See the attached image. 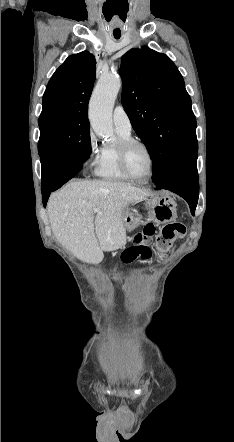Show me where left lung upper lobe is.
Listing matches in <instances>:
<instances>
[{
	"label": "left lung upper lobe",
	"instance_id": "5c2ea615",
	"mask_svg": "<svg viewBox=\"0 0 234 442\" xmlns=\"http://www.w3.org/2000/svg\"><path fill=\"white\" fill-rule=\"evenodd\" d=\"M122 104L153 161L159 183L196 141V118L185 83L171 59L148 47L121 58Z\"/></svg>",
	"mask_w": 234,
	"mask_h": 442
}]
</instances>
